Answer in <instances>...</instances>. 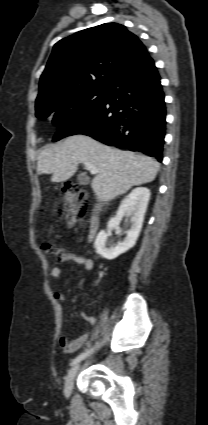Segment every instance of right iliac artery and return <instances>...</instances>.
<instances>
[{"label": "right iliac artery", "mask_w": 208, "mask_h": 425, "mask_svg": "<svg viewBox=\"0 0 208 425\" xmlns=\"http://www.w3.org/2000/svg\"><path fill=\"white\" fill-rule=\"evenodd\" d=\"M92 349H87L85 352L79 354L77 357H75L72 362L70 363V366H73L75 364H77L78 362H80L81 360H83L84 358H86Z\"/></svg>", "instance_id": "obj_1"}]
</instances>
